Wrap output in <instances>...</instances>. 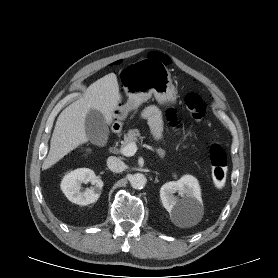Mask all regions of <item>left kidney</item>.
Wrapping results in <instances>:
<instances>
[{
	"label": "left kidney",
	"instance_id": "5707ae66",
	"mask_svg": "<svg viewBox=\"0 0 278 278\" xmlns=\"http://www.w3.org/2000/svg\"><path fill=\"white\" fill-rule=\"evenodd\" d=\"M176 192L181 198L174 196ZM160 198L172 220L178 224L197 222L203 209L200 186L192 175H184L178 181L165 183L160 189Z\"/></svg>",
	"mask_w": 278,
	"mask_h": 278
}]
</instances>
